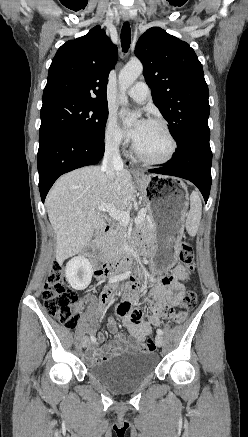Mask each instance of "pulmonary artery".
<instances>
[{
    "mask_svg": "<svg viewBox=\"0 0 248 437\" xmlns=\"http://www.w3.org/2000/svg\"><path fill=\"white\" fill-rule=\"evenodd\" d=\"M127 94L135 101L143 103L148 99L150 90L145 82L139 81L128 89Z\"/></svg>",
    "mask_w": 248,
    "mask_h": 437,
    "instance_id": "pulmonary-artery-1",
    "label": "pulmonary artery"
}]
</instances>
